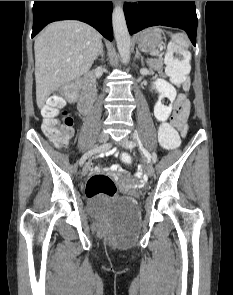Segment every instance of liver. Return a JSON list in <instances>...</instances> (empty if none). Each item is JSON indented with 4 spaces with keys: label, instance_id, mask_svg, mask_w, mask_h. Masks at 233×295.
I'll return each instance as SVG.
<instances>
[{
    "label": "liver",
    "instance_id": "6515ba94",
    "mask_svg": "<svg viewBox=\"0 0 233 295\" xmlns=\"http://www.w3.org/2000/svg\"><path fill=\"white\" fill-rule=\"evenodd\" d=\"M101 47V34L88 24L75 20L49 24L34 44L38 108L60 86L86 74Z\"/></svg>",
    "mask_w": 233,
    "mask_h": 295
}]
</instances>
